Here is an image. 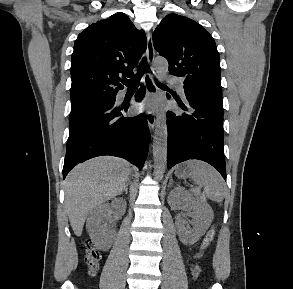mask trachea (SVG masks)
Segmentation results:
<instances>
[{
    "mask_svg": "<svg viewBox=\"0 0 293 289\" xmlns=\"http://www.w3.org/2000/svg\"><path fill=\"white\" fill-rule=\"evenodd\" d=\"M145 70L150 71L149 65L144 57L139 65V71L131 78V79H124L121 82L126 86L130 87H137L139 85L140 79L143 76ZM158 86H164L160 82L156 81Z\"/></svg>",
    "mask_w": 293,
    "mask_h": 289,
    "instance_id": "1",
    "label": "trachea"
}]
</instances>
